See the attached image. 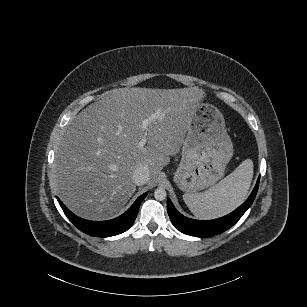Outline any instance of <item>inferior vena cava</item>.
I'll use <instances>...</instances> for the list:
<instances>
[{
  "label": "inferior vena cava",
  "mask_w": 307,
  "mask_h": 307,
  "mask_svg": "<svg viewBox=\"0 0 307 307\" xmlns=\"http://www.w3.org/2000/svg\"><path fill=\"white\" fill-rule=\"evenodd\" d=\"M150 171L147 165L141 164L133 173V181L136 185L140 186L149 180Z\"/></svg>",
  "instance_id": "inferior-vena-cava-1"
}]
</instances>
